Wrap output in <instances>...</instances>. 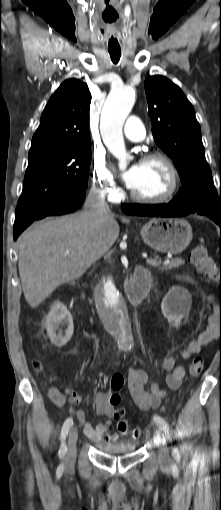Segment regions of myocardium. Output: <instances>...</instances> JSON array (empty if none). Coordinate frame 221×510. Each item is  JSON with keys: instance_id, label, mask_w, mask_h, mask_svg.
Masks as SVG:
<instances>
[{"instance_id": "myocardium-1", "label": "myocardium", "mask_w": 221, "mask_h": 510, "mask_svg": "<svg viewBox=\"0 0 221 510\" xmlns=\"http://www.w3.org/2000/svg\"><path fill=\"white\" fill-rule=\"evenodd\" d=\"M159 160L163 162L169 171L170 184L167 191L156 197H146L136 194L133 190H130V197L132 200L142 204H162L171 200L177 193L179 187V173L174 164L173 160L166 154L161 152H151L146 154L142 158V162Z\"/></svg>"}]
</instances>
